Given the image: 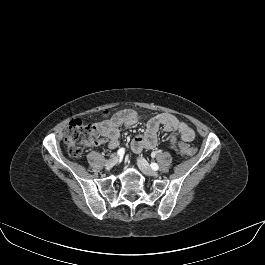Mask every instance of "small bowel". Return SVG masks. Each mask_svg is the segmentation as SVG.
<instances>
[{
    "label": "small bowel",
    "mask_w": 265,
    "mask_h": 265,
    "mask_svg": "<svg viewBox=\"0 0 265 265\" xmlns=\"http://www.w3.org/2000/svg\"><path fill=\"white\" fill-rule=\"evenodd\" d=\"M141 119V115L133 109L118 111L109 119L95 125L98 134L101 136L99 142L107 143L112 149L116 148L119 145L120 128L122 126H133ZM160 129L172 134L170 140L172 148L177 147L176 135H178L183 142H191L195 138L194 130L186 123L178 120L171 114L162 113L148 119L145 132L133 138L131 142L133 152L140 153L144 149H154L157 146Z\"/></svg>",
    "instance_id": "obj_1"
}]
</instances>
